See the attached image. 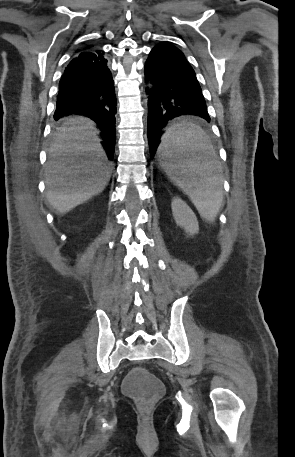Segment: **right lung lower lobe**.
<instances>
[{"label":"right lung lower lobe","instance_id":"obj_1","mask_svg":"<svg viewBox=\"0 0 295 457\" xmlns=\"http://www.w3.org/2000/svg\"><path fill=\"white\" fill-rule=\"evenodd\" d=\"M82 114L102 130L101 142L112 160L115 148L116 95L104 51L85 50L71 60L59 84L54 119Z\"/></svg>","mask_w":295,"mask_h":457}]
</instances>
